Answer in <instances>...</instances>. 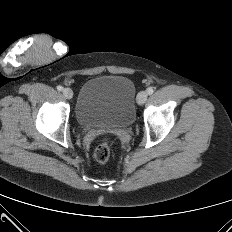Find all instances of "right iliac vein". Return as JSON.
<instances>
[{
  "mask_svg": "<svg viewBox=\"0 0 232 232\" xmlns=\"http://www.w3.org/2000/svg\"><path fill=\"white\" fill-rule=\"evenodd\" d=\"M63 95L67 99H71L73 97V91L70 88L63 89Z\"/></svg>",
  "mask_w": 232,
  "mask_h": 232,
  "instance_id": "obj_1",
  "label": "right iliac vein"
}]
</instances>
